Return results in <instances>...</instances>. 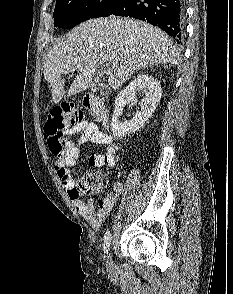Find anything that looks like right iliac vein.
I'll list each match as a JSON object with an SVG mask.
<instances>
[{
  "label": "right iliac vein",
  "mask_w": 233,
  "mask_h": 294,
  "mask_svg": "<svg viewBox=\"0 0 233 294\" xmlns=\"http://www.w3.org/2000/svg\"><path fill=\"white\" fill-rule=\"evenodd\" d=\"M106 266L109 270L113 269V261L110 253H107L106 255Z\"/></svg>",
  "instance_id": "right-iliac-vein-1"
}]
</instances>
